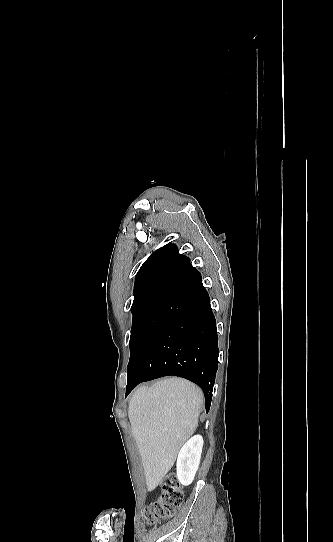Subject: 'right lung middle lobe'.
<instances>
[{"instance_id":"1","label":"right lung middle lobe","mask_w":333,"mask_h":542,"mask_svg":"<svg viewBox=\"0 0 333 542\" xmlns=\"http://www.w3.org/2000/svg\"><path fill=\"white\" fill-rule=\"evenodd\" d=\"M161 299L162 298L155 299V300H152L147 303L131 308V311L133 313V323H132L131 336H130V342H129L130 351H131L129 363H131L132 360L134 359V356L136 353L137 339L139 335L141 334V331L146 323V320Z\"/></svg>"}]
</instances>
